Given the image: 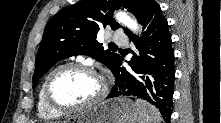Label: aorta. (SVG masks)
Masks as SVG:
<instances>
[{
  "label": "aorta",
  "mask_w": 221,
  "mask_h": 123,
  "mask_svg": "<svg viewBox=\"0 0 221 123\" xmlns=\"http://www.w3.org/2000/svg\"><path fill=\"white\" fill-rule=\"evenodd\" d=\"M116 20L129 28L131 31L136 32L138 30V23L136 20L132 19L129 17L126 13L124 12H119L116 14Z\"/></svg>",
  "instance_id": "aorta-1"
}]
</instances>
